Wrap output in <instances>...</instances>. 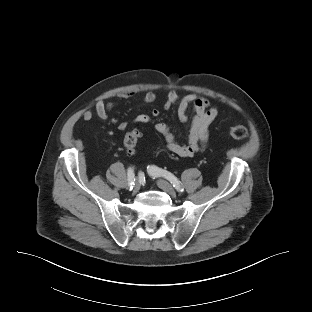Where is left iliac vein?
I'll return each instance as SVG.
<instances>
[{"instance_id":"left-iliac-vein-1","label":"left iliac vein","mask_w":312,"mask_h":312,"mask_svg":"<svg viewBox=\"0 0 312 312\" xmlns=\"http://www.w3.org/2000/svg\"><path fill=\"white\" fill-rule=\"evenodd\" d=\"M157 185L160 189H162L163 191H165L166 193H168L171 196H175L176 195V190L173 188V186L171 184H169L167 181L163 180V179H159L157 181Z\"/></svg>"}]
</instances>
